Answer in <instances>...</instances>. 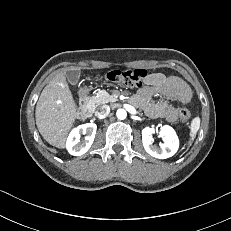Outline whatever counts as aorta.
Here are the masks:
<instances>
[{
  "mask_svg": "<svg viewBox=\"0 0 231 231\" xmlns=\"http://www.w3.org/2000/svg\"><path fill=\"white\" fill-rule=\"evenodd\" d=\"M116 115H117L118 119L123 120V119L126 118L127 112L124 109H118L117 112H116Z\"/></svg>",
  "mask_w": 231,
  "mask_h": 231,
  "instance_id": "1",
  "label": "aorta"
}]
</instances>
